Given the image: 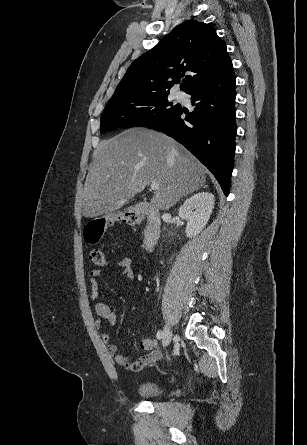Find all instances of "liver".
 <instances>
[{"mask_svg":"<svg viewBox=\"0 0 307 445\" xmlns=\"http://www.w3.org/2000/svg\"><path fill=\"white\" fill-rule=\"evenodd\" d=\"M93 156L83 192L86 218L121 208L150 182H158L151 198L157 210H168L205 186V166L183 144L156 130L127 128L101 140Z\"/></svg>","mask_w":307,"mask_h":445,"instance_id":"1","label":"liver"}]
</instances>
